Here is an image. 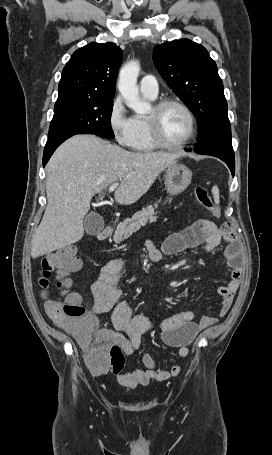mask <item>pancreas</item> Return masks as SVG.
Wrapping results in <instances>:
<instances>
[{
  "mask_svg": "<svg viewBox=\"0 0 272 455\" xmlns=\"http://www.w3.org/2000/svg\"><path fill=\"white\" fill-rule=\"evenodd\" d=\"M154 210L155 209L152 206H149L136 212L132 218H127L119 223L113 235L114 242H122L129 238L134 232L138 231L141 226H145L147 222H155L157 220V212Z\"/></svg>",
  "mask_w": 272,
  "mask_h": 455,
  "instance_id": "obj_1",
  "label": "pancreas"
}]
</instances>
